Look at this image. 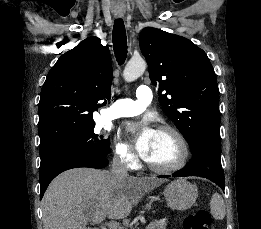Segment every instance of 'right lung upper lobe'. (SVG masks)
Instances as JSON below:
<instances>
[{
	"label": "right lung upper lobe",
	"instance_id": "obj_1",
	"mask_svg": "<svg viewBox=\"0 0 261 229\" xmlns=\"http://www.w3.org/2000/svg\"><path fill=\"white\" fill-rule=\"evenodd\" d=\"M107 46L91 36L63 54L47 75L39 102V150L73 140L95 125L93 112L111 96Z\"/></svg>",
	"mask_w": 261,
	"mask_h": 229
}]
</instances>
